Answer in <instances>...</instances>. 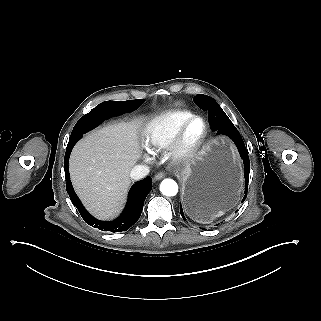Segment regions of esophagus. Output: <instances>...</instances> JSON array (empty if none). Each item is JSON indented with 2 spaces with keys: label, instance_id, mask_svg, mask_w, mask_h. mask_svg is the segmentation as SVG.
Listing matches in <instances>:
<instances>
[{
  "label": "esophagus",
  "instance_id": "1",
  "mask_svg": "<svg viewBox=\"0 0 321 321\" xmlns=\"http://www.w3.org/2000/svg\"><path fill=\"white\" fill-rule=\"evenodd\" d=\"M164 176H165V174L163 172H159L154 176V179L161 180Z\"/></svg>",
  "mask_w": 321,
  "mask_h": 321
}]
</instances>
